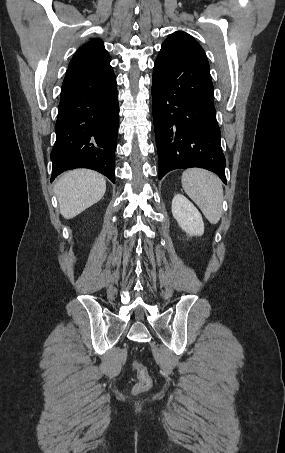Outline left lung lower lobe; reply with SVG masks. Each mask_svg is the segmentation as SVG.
I'll list each match as a JSON object with an SVG mask.
<instances>
[{
    "label": "left lung lower lobe",
    "instance_id": "0a47b994",
    "mask_svg": "<svg viewBox=\"0 0 285 453\" xmlns=\"http://www.w3.org/2000/svg\"><path fill=\"white\" fill-rule=\"evenodd\" d=\"M213 93L209 67L161 48L152 82L159 179L174 169L200 167L213 171L226 184Z\"/></svg>",
    "mask_w": 285,
    "mask_h": 453
}]
</instances>
